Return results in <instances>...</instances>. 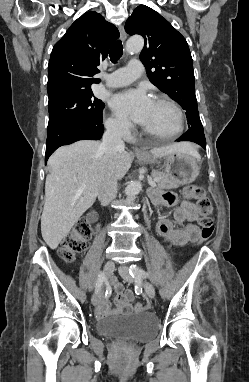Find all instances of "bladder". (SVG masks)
Wrapping results in <instances>:
<instances>
[{"label": "bladder", "mask_w": 249, "mask_h": 382, "mask_svg": "<svg viewBox=\"0 0 249 382\" xmlns=\"http://www.w3.org/2000/svg\"><path fill=\"white\" fill-rule=\"evenodd\" d=\"M95 330L101 337L145 341L156 336L158 320L154 315L146 312L113 315L98 320Z\"/></svg>", "instance_id": "obj_1"}]
</instances>
